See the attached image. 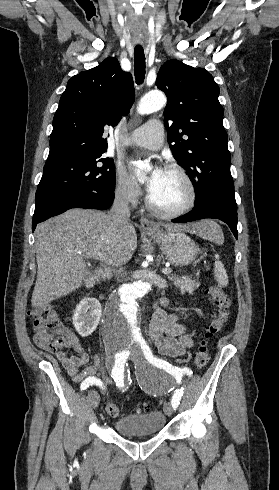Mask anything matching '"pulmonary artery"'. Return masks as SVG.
Here are the masks:
<instances>
[{
	"label": "pulmonary artery",
	"instance_id": "e3ab8cb5",
	"mask_svg": "<svg viewBox=\"0 0 279 490\" xmlns=\"http://www.w3.org/2000/svg\"><path fill=\"white\" fill-rule=\"evenodd\" d=\"M145 125L135 131V137H119L117 144L119 146H139L149 149H159L162 146L166 122H157L155 117H148Z\"/></svg>",
	"mask_w": 279,
	"mask_h": 490
}]
</instances>
